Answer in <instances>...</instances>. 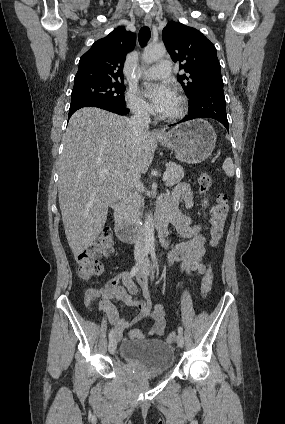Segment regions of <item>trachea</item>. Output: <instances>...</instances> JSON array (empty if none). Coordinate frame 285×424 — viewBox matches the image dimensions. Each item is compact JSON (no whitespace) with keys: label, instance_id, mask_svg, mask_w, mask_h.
I'll return each instance as SVG.
<instances>
[{"label":"trachea","instance_id":"1","mask_svg":"<svg viewBox=\"0 0 285 424\" xmlns=\"http://www.w3.org/2000/svg\"><path fill=\"white\" fill-rule=\"evenodd\" d=\"M151 37V32L149 27H142L139 31L138 40L140 45L143 47L149 41Z\"/></svg>","mask_w":285,"mask_h":424}]
</instances>
